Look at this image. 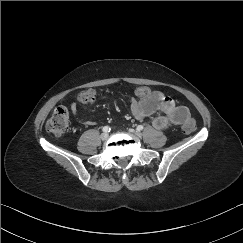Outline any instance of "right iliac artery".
<instances>
[{"label": "right iliac artery", "mask_w": 243, "mask_h": 243, "mask_svg": "<svg viewBox=\"0 0 243 243\" xmlns=\"http://www.w3.org/2000/svg\"><path fill=\"white\" fill-rule=\"evenodd\" d=\"M110 130H111V128L109 126L103 127V131L104 132H109Z\"/></svg>", "instance_id": "obj_1"}]
</instances>
